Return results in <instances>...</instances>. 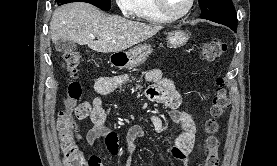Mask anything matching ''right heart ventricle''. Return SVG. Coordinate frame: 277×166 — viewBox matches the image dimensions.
<instances>
[{
  "label": "right heart ventricle",
  "mask_w": 277,
  "mask_h": 166,
  "mask_svg": "<svg viewBox=\"0 0 277 166\" xmlns=\"http://www.w3.org/2000/svg\"><path fill=\"white\" fill-rule=\"evenodd\" d=\"M131 14L142 21L152 24H161L169 21L159 12L155 0H134Z\"/></svg>",
  "instance_id": "right-heart-ventricle-1"
}]
</instances>
